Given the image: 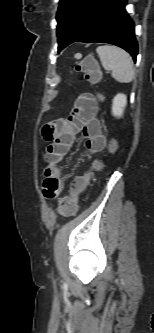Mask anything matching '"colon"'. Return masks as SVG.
Wrapping results in <instances>:
<instances>
[{
    "label": "colon",
    "mask_w": 154,
    "mask_h": 333,
    "mask_svg": "<svg viewBox=\"0 0 154 333\" xmlns=\"http://www.w3.org/2000/svg\"><path fill=\"white\" fill-rule=\"evenodd\" d=\"M76 70L81 72L91 84H96L101 79V72L98 68L97 62L93 57L87 56L83 58L77 65ZM99 98L102 97L99 95ZM116 149V143L112 140L108 146V152L113 153ZM104 167V160H95L91 168L83 175L76 177L70 187V194L59 200L57 212L62 216H72L77 212L78 200L88 188L93 175L99 172Z\"/></svg>",
    "instance_id": "obj_1"
}]
</instances>
